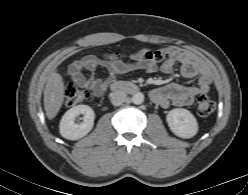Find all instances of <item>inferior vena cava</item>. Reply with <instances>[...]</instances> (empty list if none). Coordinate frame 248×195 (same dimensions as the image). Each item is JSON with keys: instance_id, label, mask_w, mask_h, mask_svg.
Segmentation results:
<instances>
[{"instance_id": "602c4592", "label": "inferior vena cava", "mask_w": 248, "mask_h": 195, "mask_svg": "<svg viewBox=\"0 0 248 195\" xmlns=\"http://www.w3.org/2000/svg\"><path fill=\"white\" fill-rule=\"evenodd\" d=\"M127 94L123 90H116L111 94V103L119 106L125 102Z\"/></svg>"}]
</instances>
